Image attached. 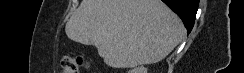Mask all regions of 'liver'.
Here are the masks:
<instances>
[{
    "label": "liver",
    "mask_w": 244,
    "mask_h": 73,
    "mask_svg": "<svg viewBox=\"0 0 244 73\" xmlns=\"http://www.w3.org/2000/svg\"><path fill=\"white\" fill-rule=\"evenodd\" d=\"M65 32L73 41L94 45L108 66L128 68L164 59L185 29L161 0H82Z\"/></svg>",
    "instance_id": "obj_1"
}]
</instances>
